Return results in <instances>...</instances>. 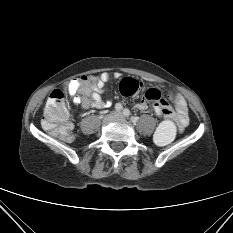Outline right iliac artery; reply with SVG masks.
Masks as SVG:
<instances>
[{"label":"right iliac artery","instance_id":"82829eb1","mask_svg":"<svg viewBox=\"0 0 233 233\" xmlns=\"http://www.w3.org/2000/svg\"><path fill=\"white\" fill-rule=\"evenodd\" d=\"M115 108H116V110L118 111V112H120L123 108H122V105L121 104H116V106H115Z\"/></svg>","mask_w":233,"mask_h":233}]
</instances>
